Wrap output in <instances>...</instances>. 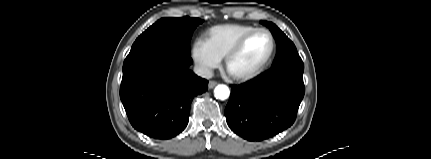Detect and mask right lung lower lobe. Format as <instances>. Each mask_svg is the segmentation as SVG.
Here are the masks:
<instances>
[{"label":"right lung lower lobe","mask_w":431,"mask_h":159,"mask_svg":"<svg viewBox=\"0 0 431 159\" xmlns=\"http://www.w3.org/2000/svg\"><path fill=\"white\" fill-rule=\"evenodd\" d=\"M190 55L161 43L130 51L123 64L120 98L131 125L154 139H170L188 124L191 102L208 81L189 66Z\"/></svg>","instance_id":"right-lung-lower-lobe-1"}]
</instances>
